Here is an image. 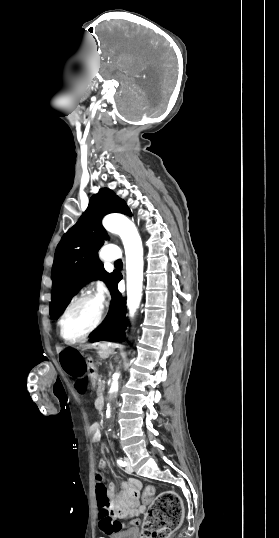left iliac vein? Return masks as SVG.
<instances>
[{
	"mask_svg": "<svg viewBox=\"0 0 279 538\" xmlns=\"http://www.w3.org/2000/svg\"><path fill=\"white\" fill-rule=\"evenodd\" d=\"M125 462H126V471H127L128 473L133 472V468H132V466H131V462H130L129 458L126 457V458H125Z\"/></svg>",
	"mask_w": 279,
	"mask_h": 538,
	"instance_id": "4c4485c4",
	"label": "left iliac vein"
}]
</instances>
